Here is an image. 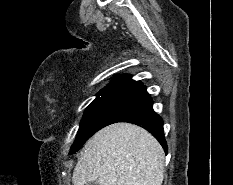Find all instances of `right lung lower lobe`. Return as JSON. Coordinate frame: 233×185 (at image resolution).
I'll return each instance as SVG.
<instances>
[{"label": "right lung lower lobe", "mask_w": 233, "mask_h": 185, "mask_svg": "<svg viewBox=\"0 0 233 185\" xmlns=\"http://www.w3.org/2000/svg\"><path fill=\"white\" fill-rule=\"evenodd\" d=\"M153 101L144 86L130 91L101 121L98 130L116 122H129L149 131L167 153L163 120L152 108Z\"/></svg>", "instance_id": "1"}]
</instances>
